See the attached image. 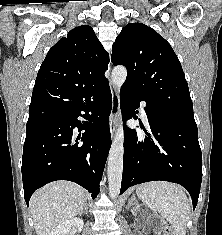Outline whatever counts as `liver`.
<instances>
[{
	"mask_svg": "<svg viewBox=\"0 0 222 235\" xmlns=\"http://www.w3.org/2000/svg\"><path fill=\"white\" fill-rule=\"evenodd\" d=\"M86 201L83 188L68 181L52 182L37 190L29 208L37 235H49L59 224L77 216Z\"/></svg>",
	"mask_w": 222,
	"mask_h": 235,
	"instance_id": "obj_1",
	"label": "liver"
}]
</instances>
